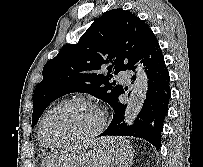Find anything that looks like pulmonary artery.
Returning a JSON list of instances; mask_svg holds the SVG:
<instances>
[{"instance_id":"obj_1","label":"pulmonary artery","mask_w":203,"mask_h":167,"mask_svg":"<svg viewBox=\"0 0 203 167\" xmlns=\"http://www.w3.org/2000/svg\"><path fill=\"white\" fill-rule=\"evenodd\" d=\"M117 77L121 82H129L130 81V76L125 71H120L118 73Z\"/></svg>"}]
</instances>
